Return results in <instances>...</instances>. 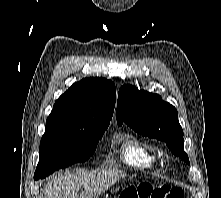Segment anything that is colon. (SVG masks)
I'll list each match as a JSON object with an SVG mask.
<instances>
[{"label": "colon", "mask_w": 221, "mask_h": 198, "mask_svg": "<svg viewBox=\"0 0 221 198\" xmlns=\"http://www.w3.org/2000/svg\"><path fill=\"white\" fill-rule=\"evenodd\" d=\"M119 198H184V192L168 184L154 186L149 181H142L136 186L125 188Z\"/></svg>", "instance_id": "obj_1"}]
</instances>
